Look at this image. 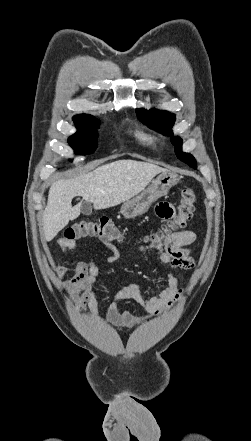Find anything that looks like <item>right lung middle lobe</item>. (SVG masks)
Returning a JSON list of instances; mask_svg holds the SVG:
<instances>
[{
    "label": "right lung middle lobe",
    "mask_w": 251,
    "mask_h": 441,
    "mask_svg": "<svg viewBox=\"0 0 251 441\" xmlns=\"http://www.w3.org/2000/svg\"><path fill=\"white\" fill-rule=\"evenodd\" d=\"M77 133L68 138V143L75 149L77 154H90L96 149L98 120L88 114L73 117Z\"/></svg>",
    "instance_id": "right-lung-middle-lobe-1"
}]
</instances>
